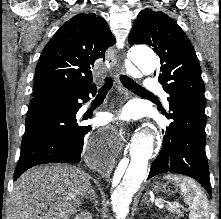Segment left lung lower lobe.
<instances>
[{"label": "left lung lower lobe", "instance_id": "obj_1", "mask_svg": "<svg viewBox=\"0 0 221 219\" xmlns=\"http://www.w3.org/2000/svg\"><path fill=\"white\" fill-rule=\"evenodd\" d=\"M173 122L163 131V147L152 163L149 178L171 172L197 180L212 197L205 154V112L178 102L169 104Z\"/></svg>", "mask_w": 221, "mask_h": 219}]
</instances>
